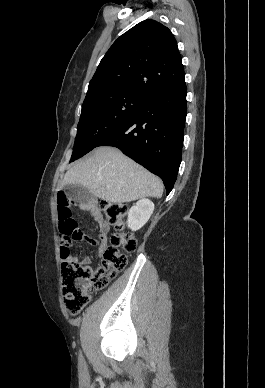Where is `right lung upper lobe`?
I'll return each instance as SVG.
<instances>
[{"label":"right lung upper lobe","instance_id":"1","mask_svg":"<svg viewBox=\"0 0 265 388\" xmlns=\"http://www.w3.org/2000/svg\"><path fill=\"white\" fill-rule=\"evenodd\" d=\"M184 78L177 42L171 31L155 20H144L121 35L102 58L87 95L123 91L145 96Z\"/></svg>","mask_w":265,"mask_h":388}]
</instances>
